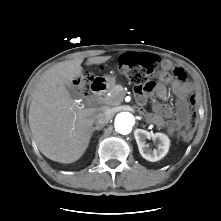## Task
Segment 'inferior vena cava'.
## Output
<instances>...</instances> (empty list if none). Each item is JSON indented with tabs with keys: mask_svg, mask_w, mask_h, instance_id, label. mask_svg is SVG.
Wrapping results in <instances>:
<instances>
[{
	"mask_svg": "<svg viewBox=\"0 0 221 221\" xmlns=\"http://www.w3.org/2000/svg\"><path fill=\"white\" fill-rule=\"evenodd\" d=\"M111 119V114L107 110H100L93 116V122L98 127H103Z\"/></svg>",
	"mask_w": 221,
	"mask_h": 221,
	"instance_id": "inferior-vena-cava-1",
	"label": "inferior vena cava"
}]
</instances>
